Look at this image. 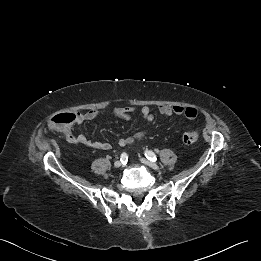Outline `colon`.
I'll return each instance as SVG.
<instances>
[{
	"instance_id": "1",
	"label": "colon",
	"mask_w": 261,
	"mask_h": 261,
	"mask_svg": "<svg viewBox=\"0 0 261 261\" xmlns=\"http://www.w3.org/2000/svg\"><path fill=\"white\" fill-rule=\"evenodd\" d=\"M75 120L74 113H57L50 117L48 124L53 129H64L74 124ZM198 137L199 132L197 130H188L183 133L182 139L185 144H193Z\"/></svg>"
}]
</instances>
